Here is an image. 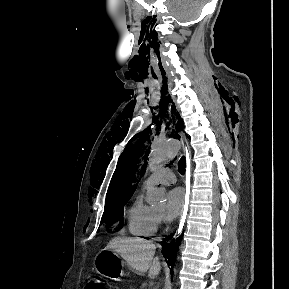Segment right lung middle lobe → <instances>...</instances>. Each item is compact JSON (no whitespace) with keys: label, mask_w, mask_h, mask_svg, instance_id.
<instances>
[{"label":"right lung middle lobe","mask_w":289,"mask_h":289,"mask_svg":"<svg viewBox=\"0 0 289 289\" xmlns=\"http://www.w3.org/2000/svg\"><path fill=\"white\" fill-rule=\"evenodd\" d=\"M106 217V214L104 213V215H103V218H102V222H104V218ZM112 221V219H106L105 220V222H107V225L110 223ZM122 225H123V222L121 221V223H120V227L117 229V231L122 227Z\"/></svg>","instance_id":"dd1d6c3e"}]
</instances>
